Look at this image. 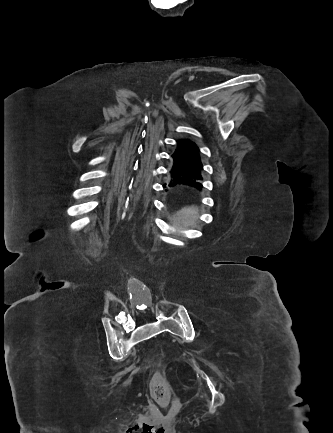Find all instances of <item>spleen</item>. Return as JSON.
Returning a JSON list of instances; mask_svg holds the SVG:
<instances>
[{
  "mask_svg": "<svg viewBox=\"0 0 333 433\" xmlns=\"http://www.w3.org/2000/svg\"><path fill=\"white\" fill-rule=\"evenodd\" d=\"M198 214V210L193 207L191 209L187 207L183 209H178V211L172 213V218L176 219L173 224L181 228L193 226L197 222Z\"/></svg>",
  "mask_w": 333,
  "mask_h": 433,
  "instance_id": "1",
  "label": "spleen"
}]
</instances>
